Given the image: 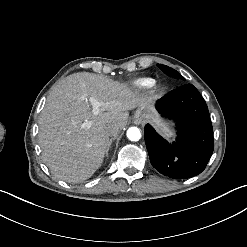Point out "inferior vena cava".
I'll use <instances>...</instances> for the list:
<instances>
[{"label": "inferior vena cava", "instance_id": "1", "mask_svg": "<svg viewBox=\"0 0 247 247\" xmlns=\"http://www.w3.org/2000/svg\"><path fill=\"white\" fill-rule=\"evenodd\" d=\"M107 133L110 136V140L116 139L118 135L121 133L122 129L120 126L115 125V126H110L106 128Z\"/></svg>", "mask_w": 247, "mask_h": 247}]
</instances>
